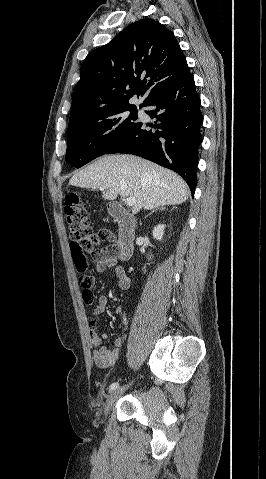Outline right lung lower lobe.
<instances>
[{"instance_id": "right-lung-lower-lobe-1", "label": "right lung lower lobe", "mask_w": 266, "mask_h": 479, "mask_svg": "<svg viewBox=\"0 0 266 479\" xmlns=\"http://www.w3.org/2000/svg\"><path fill=\"white\" fill-rule=\"evenodd\" d=\"M191 73L155 92L143 105L159 122L136 125L106 154L128 153L174 170L187 182L192 195L196 188L198 147L202 142L200 127L203 117L200 98Z\"/></svg>"}]
</instances>
